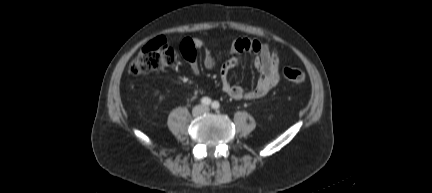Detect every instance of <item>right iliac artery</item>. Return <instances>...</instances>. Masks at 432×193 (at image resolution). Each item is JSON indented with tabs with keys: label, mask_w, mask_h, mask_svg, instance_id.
Masks as SVG:
<instances>
[{
	"label": "right iliac artery",
	"mask_w": 432,
	"mask_h": 193,
	"mask_svg": "<svg viewBox=\"0 0 432 193\" xmlns=\"http://www.w3.org/2000/svg\"><path fill=\"white\" fill-rule=\"evenodd\" d=\"M201 103H202V105H204V106H209V105L211 104V99L208 98V97H203V98L201 99Z\"/></svg>",
	"instance_id": "right-iliac-artery-1"
}]
</instances>
